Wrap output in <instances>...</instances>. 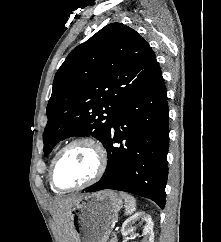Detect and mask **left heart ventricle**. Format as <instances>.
Here are the masks:
<instances>
[{
	"label": "left heart ventricle",
	"mask_w": 221,
	"mask_h": 242,
	"mask_svg": "<svg viewBox=\"0 0 221 242\" xmlns=\"http://www.w3.org/2000/svg\"><path fill=\"white\" fill-rule=\"evenodd\" d=\"M96 166V153L90 145H73L63 153L56 164L55 182L59 187L78 185L92 177Z\"/></svg>",
	"instance_id": "left-heart-ventricle-1"
}]
</instances>
